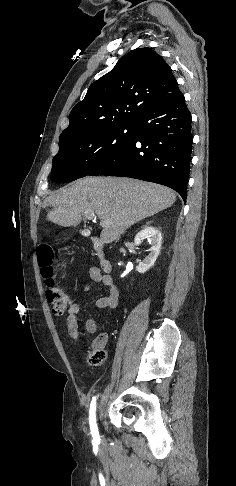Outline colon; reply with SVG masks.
<instances>
[{
	"mask_svg": "<svg viewBox=\"0 0 236 486\" xmlns=\"http://www.w3.org/2000/svg\"><path fill=\"white\" fill-rule=\"evenodd\" d=\"M38 263L41 272L48 286L47 299L51 304L53 312L63 313L71 304L69 294L54 281L55 254L48 245H42L37 251ZM106 358V352L102 347H94L88 354V360L92 365H101Z\"/></svg>",
	"mask_w": 236,
	"mask_h": 486,
	"instance_id": "colon-1",
	"label": "colon"
}]
</instances>
